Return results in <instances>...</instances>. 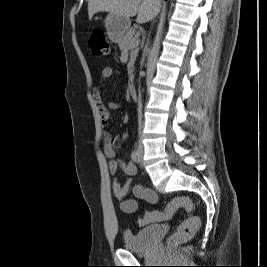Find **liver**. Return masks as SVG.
Segmentation results:
<instances>
[{
  "label": "liver",
  "instance_id": "1",
  "mask_svg": "<svg viewBox=\"0 0 267 267\" xmlns=\"http://www.w3.org/2000/svg\"><path fill=\"white\" fill-rule=\"evenodd\" d=\"M160 7V0H88V16L92 19L98 12L125 18L137 15V23H146L159 13Z\"/></svg>",
  "mask_w": 267,
  "mask_h": 267
}]
</instances>
